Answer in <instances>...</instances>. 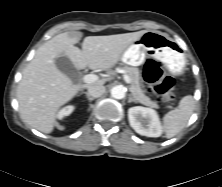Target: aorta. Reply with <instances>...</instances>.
<instances>
[{"mask_svg": "<svg viewBox=\"0 0 222 187\" xmlns=\"http://www.w3.org/2000/svg\"><path fill=\"white\" fill-rule=\"evenodd\" d=\"M111 96L115 99H123L125 97V89L123 86H114L111 89Z\"/></svg>", "mask_w": 222, "mask_h": 187, "instance_id": "1", "label": "aorta"}]
</instances>
